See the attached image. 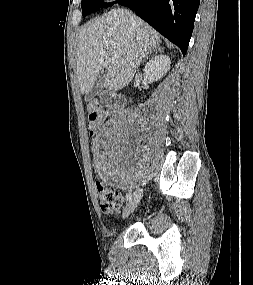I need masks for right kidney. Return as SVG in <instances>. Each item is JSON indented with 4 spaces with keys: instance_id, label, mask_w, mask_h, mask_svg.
<instances>
[{
    "instance_id": "ca27d5eb",
    "label": "right kidney",
    "mask_w": 253,
    "mask_h": 285,
    "mask_svg": "<svg viewBox=\"0 0 253 285\" xmlns=\"http://www.w3.org/2000/svg\"><path fill=\"white\" fill-rule=\"evenodd\" d=\"M171 60L167 55H158L152 58L145 66L144 79L153 83L161 79L170 69Z\"/></svg>"
}]
</instances>
